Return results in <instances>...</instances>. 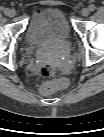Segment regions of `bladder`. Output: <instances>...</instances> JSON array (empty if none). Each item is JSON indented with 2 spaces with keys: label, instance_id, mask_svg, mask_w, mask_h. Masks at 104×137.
<instances>
[{
  "label": "bladder",
  "instance_id": "bladder-1",
  "mask_svg": "<svg viewBox=\"0 0 104 137\" xmlns=\"http://www.w3.org/2000/svg\"><path fill=\"white\" fill-rule=\"evenodd\" d=\"M71 28L57 8H46L36 15L25 31L26 50L47 60L60 58L71 46Z\"/></svg>",
  "mask_w": 104,
  "mask_h": 137
}]
</instances>
